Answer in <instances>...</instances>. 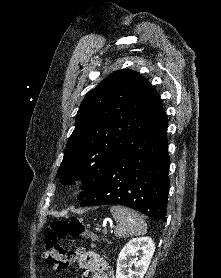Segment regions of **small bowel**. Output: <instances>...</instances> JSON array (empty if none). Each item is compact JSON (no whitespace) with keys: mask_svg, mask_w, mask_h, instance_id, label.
<instances>
[{"mask_svg":"<svg viewBox=\"0 0 221 278\" xmlns=\"http://www.w3.org/2000/svg\"><path fill=\"white\" fill-rule=\"evenodd\" d=\"M79 264L85 270L83 278H114L112 268L96 252H81Z\"/></svg>","mask_w":221,"mask_h":278,"instance_id":"small-bowel-1","label":"small bowel"}]
</instances>
